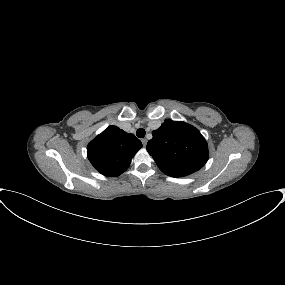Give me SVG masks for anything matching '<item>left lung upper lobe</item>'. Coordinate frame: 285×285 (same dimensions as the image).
I'll list each match as a JSON object with an SVG mask.
<instances>
[{
    "label": "left lung upper lobe",
    "mask_w": 285,
    "mask_h": 285,
    "mask_svg": "<svg viewBox=\"0 0 285 285\" xmlns=\"http://www.w3.org/2000/svg\"><path fill=\"white\" fill-rule=\"evenodd\" d=\"M152 135L146 149L168 176L190 175L208 160L207 142L192 125L167 119Z\"/></svg>",
    "instance_id": "1"
}]
</instances>
